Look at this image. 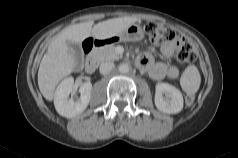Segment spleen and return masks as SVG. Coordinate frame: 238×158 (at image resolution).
I'll list each match as a JSON object with an SVG mask.
<instances>
[{
    "instance_id": "obj_1",
    "label": "spleen",
    "mask_w": 238,
    "mask_h": 158,
    "mask_svg": "<svg viewBox=\"0 0 238 158\" xmlns=\"http://www.w3.org/2000/svg\"><path fill=\"white\" fill-rule=\"evenodd\" d=\"M201 82L200 73L195 65H189L180 79L182 88L188 93H196Z\"/></svg>"
}]
</instances>
